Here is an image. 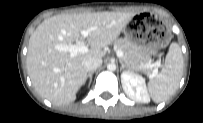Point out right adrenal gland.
Listing matches in <instances>:
<instances>
[{"label":"right adrenal gland","instance_id":"right-adrenal-gland-1","mask_svg":"<svg viewBox=\"0 0 203 123\" xmlns=\"http://www.w3.org/2000/svg\"><path fill=\"white\" fill-rule=\"evenodd\" d=\"M93 73H94V71H91V72H89V73L87 74L86 79L89 78V84H88V86L91 85Z\"/></svg>","mask_w":203,"mask_h":123}]
</instances>
